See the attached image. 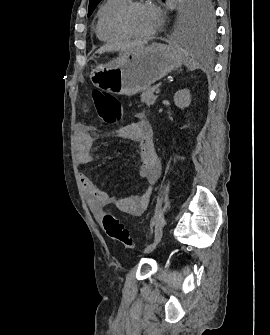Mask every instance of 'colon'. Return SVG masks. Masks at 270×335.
Instances as JSON below:
<instances>
[{
    "instance_id": "1",
    "label": "colon",
    "mask_w": 270,
    "mask_h": 335,
    "mask_svg": "<svg viewBox=\"0 0 270 335\" xmlns=\"http://www.w3.org/2000/svg\"><path fill=\"white\" fill-rule=\"evenodd\" d=\"M91 99L101 120L106 124L117 123L122 116L120 102L116 96L105 90L92 89ZM103 226L107 235L128 250L134 248L133 239L117 215L107 211L103 216Z\"/></svg>"
}]
</instances>
